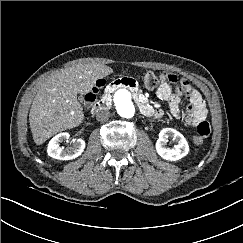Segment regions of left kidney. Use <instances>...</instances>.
I'll use <instances>...</instances> for the list:
<instances>
[{"instance_id": "5707ae66", "label": "left kidney", "mask_w": 243, "mask_h": 243, "mask_svg": "<svg viewBox=\"0 0 243 243\" xmlns=\"http://www.w3.org/2000/svg\"><path fill=\"white\" fill-rule=\"evenodd\" d=\"M168 139L176 142L173 148L166 146ZM155 147L159 156L169 161H177L189 152L188 142L180 132L173 128H164L160 131Z\"/></svg>"}]
</instances>
